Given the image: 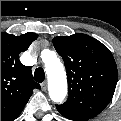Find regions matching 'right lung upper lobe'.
Wrapping results in <instances>:
<instances>
[{
  "label": "right lung upper lobe",
  "instance_id": "right-lung-upper-lobe-1",
  "mask_svg": "<svg viewBox=\"0 0 121 121\" xmlns=\"http://www.w3.org/2000/svg\"><path fill=\"white\" fill-rule=\"evenodd\" d=\"M37 34L21 36L1 32V121L15 120L40 85L33 81L31 68L24 66L19 54L37 39Z\"/></svg>",
  "mask_w": 121,
  "mask_h": 121
}]
</instances>
